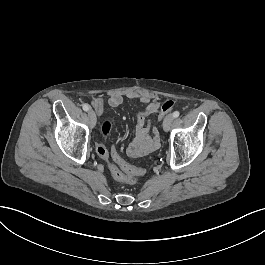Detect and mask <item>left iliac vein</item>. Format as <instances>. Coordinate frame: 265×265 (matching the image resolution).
<instances>
[{"label": "left iliac vein", "mask_w": 265, "mask_h": 265, "mask_svg": "<svg viewBox=\"0 0 265 265\" xmlns=\"http://www.w3.org/2000/svg\"><path fill=\"white\" fill-rule=\"evenodd\" d=\"M173 121H174L173 115L169 114L166 116V118L164 119V122H163V128L165 131H168L170 129Z\"/></svg>", "instance_id": "left-iliac-vein-1"}]
</instances>
